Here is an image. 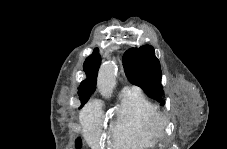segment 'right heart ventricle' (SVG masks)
<instances>
[{
	"mask_svg": "<svg viewBox=\"0 0 227 149\" xmlns=\"http://www.w3.org/2000/svg\"><path fill=\"white\" fill-rule=\"evenodd\" d=\"M155 106L136 89H125L109 123L111 143L121 149H148L157 144L151 128Z\"/></svg>",
	"mask_w": 227,
	"mask_h": 149,
	"instance_id": "e07e8e85",
	"label": "right heart ventricle"
}]
</instances>
